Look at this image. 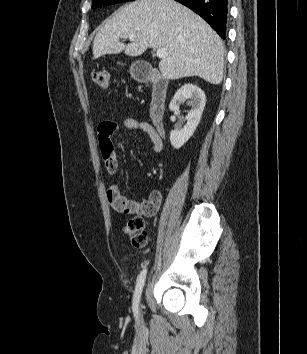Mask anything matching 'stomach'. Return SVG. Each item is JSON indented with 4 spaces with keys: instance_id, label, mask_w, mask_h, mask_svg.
I'll list each match as a JSON object with an SVG mask.
<instances>
[{
    "instance_id": "0dacf381",
    "label": "stomach",
    "mask_w": 307,
    "mask_h": 354,
    "mask_svg": "<svg viewBox=\"0 0 307 354\" xmlns=\"http://www.w3.org/2000/svg\"><path fill=\"white\" fill-rule=\"evenodd\" d=\"M131 73L133 76H135V74H136L135 69H134V65H132V67H131Z\"/></svg>"
}]
</instances>
